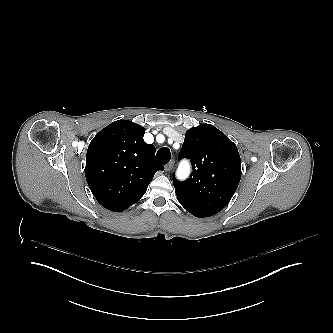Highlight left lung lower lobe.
Wrapping results in <instances>:
<instances>
[{
  "instance_id": "obj_1",
  "label": "left lung lower lobe",
  "mask_w": 333,
  "mask_h": 333,
  "mask_svg": "<svg viewBox=\"0 0 333 333\" xmlns=\"http://www.w3.org/2000/svg\"><path fill=\"white\" fill-rule=\"evenodd\" d=\"M188 212H190L192 215L196 217H209L214 215L215 213L208 212L205 210H200L197 208L189 207V206H183Z\"/></svg>"
}]
</instances>
